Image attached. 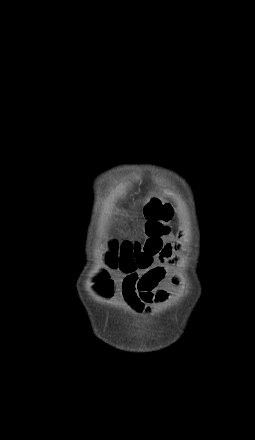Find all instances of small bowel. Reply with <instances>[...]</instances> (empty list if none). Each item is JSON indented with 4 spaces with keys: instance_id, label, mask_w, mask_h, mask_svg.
Listing matches in <instances>:
<instances>
[{
    "instance_id": "1",
    "label": "small bowel",
    "mask_w": 255,
    "mask_h": 440,
    "mask_svg": "<svg viewBox=\"0 0 255 440\" xmlns=\"http://www.w3.org/2000/svg\"><path fill=\"white\" fill-rule=\"evenodd\" d=\"M179 249V244H167L164 247L163 255L160 258L162 263L174 262L173 253ZM166 276L164 267H154L144 270L141 273L129 272L123 278L117 295L127 305L138 313L148 312L154 303H163L170 293L165 289H160V285ZM178 284L177 278L173 280ZM113 286L107 282L106 296L113 295Z\"/></svg>"
}]
</instances>
